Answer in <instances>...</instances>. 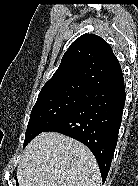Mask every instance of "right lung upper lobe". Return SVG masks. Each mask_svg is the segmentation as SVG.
<instances>
[{"mask_svg": "<svg viewBox=\"0 0 138 186\" xmlns=\"http://www.w3.org/2000/svg\"><path fill=\"white\" fill-rule=\"evenodd\" d=\"M123 84L120 64L109 44L97 35L84 34L70 45L41 92L72 85L99 89Z\"/></svg>", "mask_w": 138, "mask_h": 186, "instance_id": "obj_1", "label": "right lung upper lobe"}]
</instances>
